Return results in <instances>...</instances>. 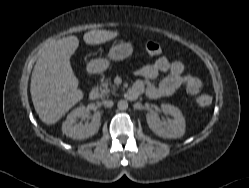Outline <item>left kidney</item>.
<instances>
[{
    "label": "left kidney",
    "mask_w": 249,
    "mask_h": 188,
    "mask_svg": "<svg viewBox=\"0 0 249 188\" xmlns=\"http://www.w3.org/2000/svg\"><path fill=\"white\" fill-rule=\"evenodd\" d=\"M161 109L164 114L171 115L173 119L168 120L167 128H165L157 115L148 113L146 115V120L149 128L156 135L163 138L182 137L185 133V118L182 112L177 107L170 104H162Z\"/></svg>",
    "instance_id": "5707ae66"
}]
</instances>
